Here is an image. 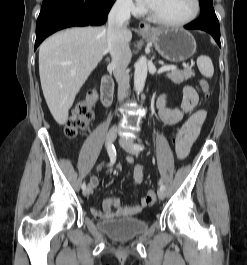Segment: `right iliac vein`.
<instances>
[{
    "mask_svg": "<svg viewBox=\"0 0 247 265\" xmlns=\"http://www.w3.org/2000/svg\"><path fill=\"white\" fill-rule=\"evenodd\" d=\"M116 137H117V128L112 127L107 133L106 137L107 144L108 145L112 144L115 141ZM90 192L91 188L88 186L85 190H83V195L87 197L90 195Z\"/></svg>",
    "mask_w": 247,
    "mask_h": 265,
    "instance_id": "1",
    "label": "right iliac vein"
}]
</instances>
